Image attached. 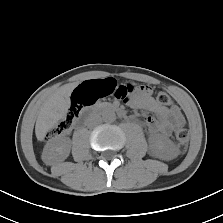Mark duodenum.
I'll return each instance as SVG.
<instances>
[{
  "label": "duodenum",
  "mask_w": 223,
  "mask_h": 223,
  "mask_svg": "<svg viewBox=\"0 0 223 223\" xmlns=\"http://www.w3.org/2000/svg\"><path fill=\"white\" fill-rule=\"evenodd\" d=\"M93 112H100V111H114L117 114H119L120 116H123L125 114L124 110L117 104H102L97 106L95 109H92ZM86 119H82L77 126H81Z\"/></svg>",
  "instance_id": "duodenum-1"
}]
</instances>
